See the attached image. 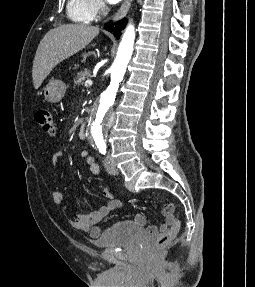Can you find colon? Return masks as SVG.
Instances as JSON below:
<instances>
[{
	"label": "colon",
	"instance_id": "5ec220e1",
	"mask_svg": "<svg viewBox=\"0 0 255 287\" xmlns=\"http://www.w3.org/2000/svg\"><path fill=\"white\" fill-rule=\"evenodd\" d=\"M35 120L42 128V130L50 135H54L56 133V126L53 119V114L48 109H40L35 114ZM181 222L178 218H175V221L170 226L169 229L164 231L159 235V237L155 241V246L157 248H162L170 241H172L179 232Z\"/></svg>",
	"mask_w": 255,
	"mask_h": 287
}]
</instances>
